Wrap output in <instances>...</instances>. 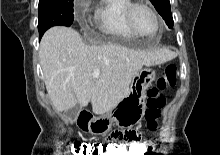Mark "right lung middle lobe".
I'll use <instances>...</instances> for the list:
<instances>
[{
    "label": "right lung middle lobe",
    "instance_id": "1",
    "mask_svg": "<svg viewBox=\"0 0 220 155\" xmlns=\"http://www.w3.org/2000/svg\"><path fill=\"white\" fill-rule=\"evenodd\" d=\"M38 10L40 38L52 26H70L73 23V0H40Z\"/></svg>",
    "mask_w": 220,
    "mask_h": 155
}]
</instances>
